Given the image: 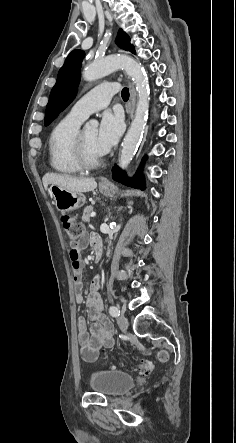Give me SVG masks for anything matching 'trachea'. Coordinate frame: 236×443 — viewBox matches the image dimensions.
I'll return each instance as SVG.
<instances>
[{
	"label": "trachea",
	"mask_w": 236,
	"mask_h": 443,
	"mask_svg": "<svg viewBox=\"0 0 236 443\" xmlns=\"http://www.w3.org/2000/svg\"><path fill=\"white\" fill-rule=\"evenodd\" d=\"M121 95H122L123 100L127 101L129 99V89L123 88Z\"/></svg>",
	"instance_id": "1"
}]
</instances>
